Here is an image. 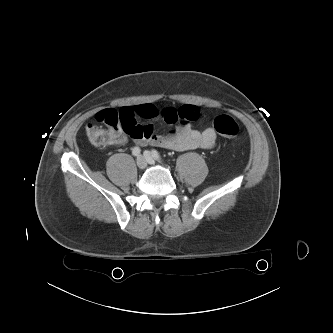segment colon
Returning <instances> with one entry per match:
<instances>
[{
	"label": "colon",
	"mask_w": 333,
	"mask_h": 333,
	"mask_svg": "<svg viewBox=\"0 0 333 333\" xmlns=\"http://www.w3.org/2000/svg\"><path fill=\"white\" fill-rule=\"evenodd\" d=\"M96 121L106 126L89 124L86 127L88 140L97 147L112 144L113 135L123 131L132 134L137 131L138 123L131 108L121 110L105 109L96 114ZM214 130L226 138H235L240 133L238 123L228 115H219L213 121Z\"/></svg>",
	"instance_id": "1"
}]
</instances>
